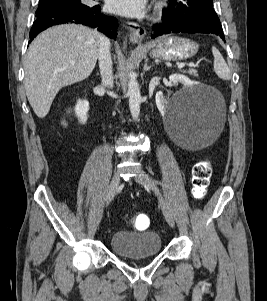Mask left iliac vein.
Returning a JSON list of instances; mask_svg holds the SVG:
<instances>
[{
  "label": "left iliac vein",
  "mask_w": 267,
  "mask_h": 301,
  "mask_svg": "<svg viewBox=\"0 0 267 301\" xmlns=\"http://www.w3.org/2000/svg\"><path fill=\"white\" fill-rule=\"evenodd\" d=\"M134 180L136 182L142 184L143 186L149 188L150 190H152L155 193V195L159 199V203L161 205V208H162V211H163V214H164V217H165L167 223L169 224L170 227L174 228L175 221L173 218L171 207H170L169 203L166 201V199L160 194L159 188L153 182V180L149 177V175H147L144 172H141L134 177Z\"/></svg>",
  "instance_id": "1"
}]
</instances>
